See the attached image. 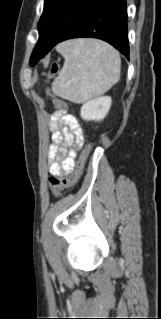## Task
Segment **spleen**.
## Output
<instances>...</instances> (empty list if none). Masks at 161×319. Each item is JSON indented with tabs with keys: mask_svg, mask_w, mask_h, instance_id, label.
Masks as SVG:
<instances>
[{
	"mask_svg": "<svg viewBox=\"0 0 161 319\" xmlns=\"http://www.w3.org/2000/svg\"><path fill=\"white\" fill-rule=\"evenodd\" d=\"M64 59L52 83L54 94L80 104L106 93L120 79L119 53L94 39H76L57 47Z\"/></svg>",
	"mask_w": 161,
	"mask_h": 319,
	"instance_id": "spleen-1",
	"label": "spleen"
}]
</instances>
